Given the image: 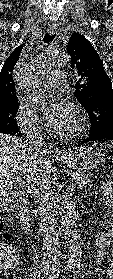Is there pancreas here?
<instances>
[{"instance_id":"cf45deb5","label":"pancreas","mask_w":113,"mask_h":279,"mask_svg":"<svg viewBox=\"0 0 113 279\" xmlns=\"http://www.w3.org/2000/svg\"><path fill=\"white\" fill-rule=\"evenodd\" d=\"M71 176L80 189L83 188V186L89 181L88 177L79 172H73Z\"/></svg>"}]
</instances>
